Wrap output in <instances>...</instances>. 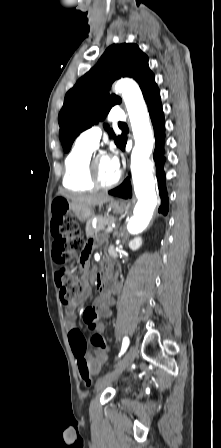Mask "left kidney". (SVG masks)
Returning a JSON list of instances; mask_svg holds the SVG:
<instances>
[{"instance_id": "5707ae66", "label": "left kidney", "mask_w": 221, "mask_h": 448, "mask_svg": "<svg viewBox=\"0 0 221 448\" xmlns=\"http://www.w3.org/2000/svg\"><path fill=\"white\" fill-rule=\"evenodd\" d=\"M142 245V239L137 237L130 242V248L134 251L138 250Z\"/></svg>"}]
</instances>
